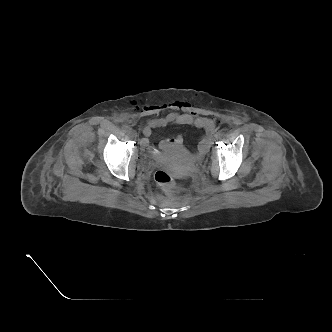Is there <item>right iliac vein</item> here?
Here are the masks:
<instances>
[{
	"mask_svg": "<svg viewBox=\"0 0 332 332\" xmlns=\"http://www.w3.org/2000/svg\"><path fill=\"white\" fill-rule=\"evenodd\" d=\"M129 133H130L131 135H133V136L136 135V133H135L134 130H130Z\"/></svg>",
	"mask_w": 332,
	"mask_h": 332,
	"instance_id": "right-iliac-vein-1",
	"label": "right iliac vein"
}]
</instances>
